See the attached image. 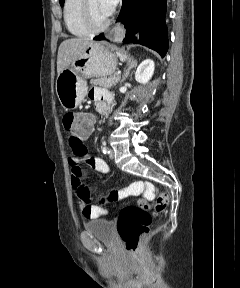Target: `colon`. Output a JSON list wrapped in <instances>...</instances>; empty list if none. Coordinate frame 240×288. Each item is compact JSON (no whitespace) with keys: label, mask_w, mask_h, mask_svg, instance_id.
Returning <instances> with one entry per match:
<instances>
[{"label":"colon","mask_w":240,"mask_h":288,"mask_svg":"<svg viewBox=\"0 0 240 288\" xmlns=\"http://www.w3.org/2000/svg\"><path fill=\"white\" fill-rule=\"evenodd\" d=\"M63 128L69 137L80 138L88 135L93 127V118L87 113L69 112L63 117ZM152 187L148 183H137L133 190L141 191ZM153 189V188H152ZM120 197L118 191H111L101 198L100 202L115 201ZM169 203V196L165 191L156 190L154 201V213L162 212ZM152 221L150 205L141 202L139 205L124 207L118 219V231L128 253L137 252L141 239L146 235Z\"/></svg>","instance_id":"colon-1"}]
</instances>
